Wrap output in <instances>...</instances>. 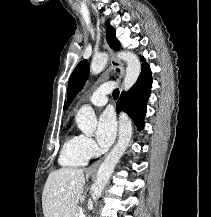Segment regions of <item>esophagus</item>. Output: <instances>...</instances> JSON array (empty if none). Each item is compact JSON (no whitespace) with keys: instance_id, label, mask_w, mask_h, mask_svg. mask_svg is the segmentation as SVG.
<instances>
[{"instance_id":"obj_1","label":"esophagus","mask_w":211,"mask_h":217,"mask_svg":"<svg viewBox=\"0 0 211 217\" xmlns=\"http://www.w3.org/2000/svg\"><path fill=\"white\" fill-rule=\"evenodd\" d=\"M109 52H110V56H111V66L113 69H119L120 70V73H119V79H121L122 77V74H123V65L122 63L117 59V57L115 56V53L109 49ZM104 157L99 159L98 161H96L95 163L92 164V166L90 167L91 170H96L101 162L103 161Z\"/></svg>"}]
</instances>
